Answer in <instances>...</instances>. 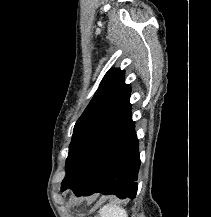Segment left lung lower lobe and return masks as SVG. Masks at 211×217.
<instances>
[{
	"label": "left lung lower lobe",
	"instance_id": "left-lung-lower-lobe-1",
	"mask_svg": "<svg viewBox=\"0 0 211 217\" xmlns=\"http://www.w3.org/2000/svg\"><path fill=\"white\" fill-rule=\"evenodd\" d=\"M140 167L134 122L118 130L95 154L80 174L61 190L71 188L77 196L101 192L119 198H135Z\"/></svg>",
	"mask_w": 211,
	"mask_h": 217
}]
</instances>
